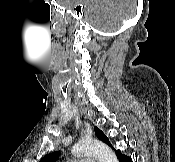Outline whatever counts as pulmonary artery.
<instances>
[{
	"instance_id": "obj_1",
	"label": "pulmonary artery",
	"mask_w": 175,
	"mask_h": 162,
	"mask_svg": "<svg viewBox=\"0 0 175 162\" xmlns=\"http://www.w3.org/2000/svg\"><path fill=\"white\" fill-rule=\"evenodd\" d=\"M70 162H96V160L85 158V159H74V160H71Z\"/></svg>"
}]
</instances>
